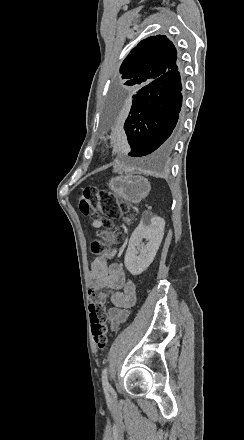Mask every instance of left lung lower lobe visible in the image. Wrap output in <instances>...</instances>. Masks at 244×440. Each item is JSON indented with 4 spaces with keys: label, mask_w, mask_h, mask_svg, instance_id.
<instances>
[{
    "label": "left lung lower lobe",
    "mask_w": 244,
    "mask_h": 440,
    "mask_svg": "<svg viewBox=\"0 0 244 440\" xmlns=\"http://www.w3.org/2000/svg\"><path fill=\"white\" fill-rule=\"evenodd\" d=\"M181 90L176 64L157 80L117 99L115 110L127 115L124 130L132 148L129 156L166 152L174 145L181 130Z\"/></svg>",
    "instance_id": "obj_1"
}]
</instances>
